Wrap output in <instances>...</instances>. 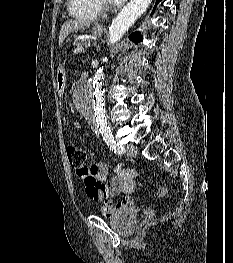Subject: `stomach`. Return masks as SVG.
I'll use <instances>...</instances> for the list:
<instances>
[{"label":"stomach","mask_w":233,"mask_h":263,"mask_svg":"<svg viewBox=\"0 0 233 263\" xmlns=\"http://www.w3.org/2000/svg\"><path fill=\"white\" fill-rule=\"evenodd\" d=\"M92 33L95 36H101L103 33V28L99 26H95L92 29ZM65 79H66V74H65L64 69L61 67L58 69L57 77L55 78V81L57 82L56 86H57L58 91H65L66 88H68L69 85L68 83H66Z\"/></svg>","instance_id":"0dacf381"}]
</instances>
